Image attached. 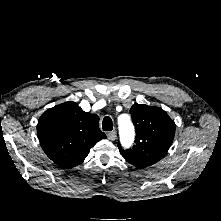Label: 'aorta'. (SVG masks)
Segmentation results:
<instances>
[{"mask_svg": "<svg viewBox=\"0 0 221 221\" xmlns=\"http://www.w3.org/2000/svg\"><path fill=\"white\" fill-rule=\"evenodd\" d=\"M118 128L121 144L124 147H129L134 141V126L128 116H120L118 119Z\"/></svg>", "mask_w": 221, "mask_h": 221, "instance_id": "obj_1", "label": "aorta"}]
</instances>
